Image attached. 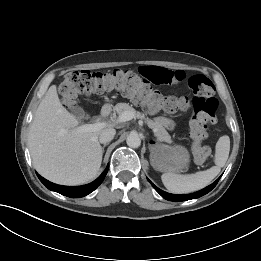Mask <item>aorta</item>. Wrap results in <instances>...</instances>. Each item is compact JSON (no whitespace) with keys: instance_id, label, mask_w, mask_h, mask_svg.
Listing matches in <instances>:
<instances>
[{"instance_id":"aorta-1","label":"aorta","mask_w":261,"mask_h":261,"mask_svg":"<svg viewBox=\"0 0 261 261\" xmlns=\"http://www.w3.org/2000/svg\"><path fill=\"white\" fill-rule=\"evenodd\" d=\"M126 143L131 148H138L141 145V139L138 134L131 133L128 135Z\"/></svg>"}]
</instances>
